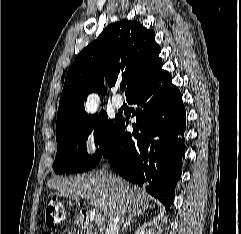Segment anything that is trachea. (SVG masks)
<instances>
[{
    "mask_svg": "<svg viewBox=\"0 0 241 234\" xmlns=\"http://www.w3.org/2000/svg\"><path fill=\"white\" fill-rule=\"evenodd\" d=\"M125 88H126V84H121V85H120V89H121L122 91H124Z\"/></svg>",
    "mask_w": 241,
    "mask_h": 234,
    "instance_id": "trachea-1",
    "label": "trachea"
}]
</instances>
